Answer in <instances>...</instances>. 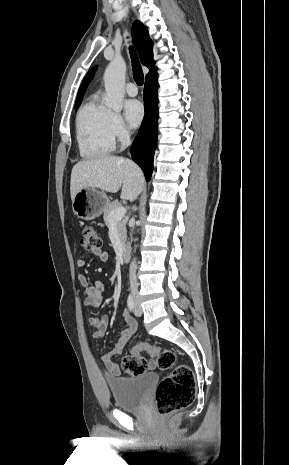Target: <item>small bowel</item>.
Listing matches in <instances>:
<instances>
[{
	"instance_id": "1",
	"label": "small bowel",
	"mask_w": 289,
	"mask_h": 465,
	"mask_svg": "<svg viewBox=\"0 0 289 465\" xmlns=\"http://www.w3.org/2000/svg\"><path fill=\"white\" fill-rule=\"evenodd\" d=\"M93 256L101 262H106L109 259V255L106 251H103L100 248L93 249L89 254L78 259V267L84 268L87 264V261ZM78 281L81 286L85 288V304L91 308L99 307L103 300L105 284L102 281L96 280L92 285H90L85 274H79ZM123 318L126 323V328L121 332L119 338L115 341L111 350L104 353L101 357L108 372L114 376L120 375L121 370L113 358L121 354L124 347L137 330L136 321L127 312L123 313ZM109 322L110 318L107 315L102 316L101 318L92 317L89 319L90 325L95 328L94 338L100 340L105 337ZM148 366L153 368L155 366V362L150 361Z\"/></svg>"
}]
</instances>
